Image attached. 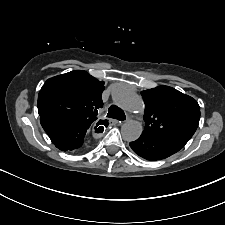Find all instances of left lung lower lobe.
<instances>
[{"label": "left lung lower lobe", "instance_id": "left-lung-lower-lobe-1", "mask_svg": "<svg viewBox=\"0 0 225 225\" xmlns=\"http://www.w3.org/2000/svg\"><path fill=\"white\" fill-rule=\"evenodd\" d=\"M187 140L176 138H155L144 135L130 142L132 150L142 158L150 161L165 159L182 149Z\"/></svg>", "mask_w": 225, "mask_h": 225}]
</instances>
